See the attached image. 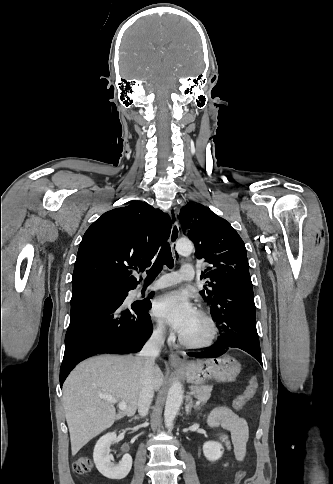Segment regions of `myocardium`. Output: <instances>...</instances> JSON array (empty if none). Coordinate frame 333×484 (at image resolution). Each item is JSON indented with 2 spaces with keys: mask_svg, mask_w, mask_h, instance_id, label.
I'll list each match as a JSON object with an SVG mask.
<instances>
[{
  "mask_svg": "<svg viewBox=\"0 0 333 484\" xmlns=\"http://www.w3.org/2000/svg\"><path fill=\"white\" fill-rule=\"evenodd\" d=\"M197 314L206 321L209 328L208 336L200 342H192L185 339L180 334L179 341L184 347L188 349L202 350V349L209 348L214 343L218 335V327L214 318L205 310L200 309L197 311Z\"/></svg>",
  "mask_w": 333,
  "mask_h": 484,
  "instance_id": "obj_1",
  "label": "myocardium"
}]
</instances>
